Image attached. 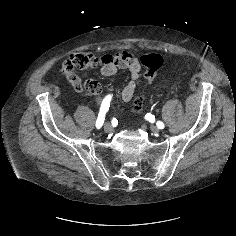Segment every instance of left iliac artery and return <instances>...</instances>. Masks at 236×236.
Segmentation results:
<instances>
[{"label": "left iliac artery", "instance_id": "44dca946", "mask_svg": "<svg viewBox=\"0 0 236 236\" xmlns=\"http://www.w3.org/2000/svg\"><path fill=\"white\" fill-rule=\"evenodd\" d=\"M151 116H152V115H151ZM156 125H157V127H158L159 129H163V128L165 127L164 123L161 122V121H158V122L156 123Z\"/></svg>", "mask_w": 236, "mask_h": 236}]
</instances>
